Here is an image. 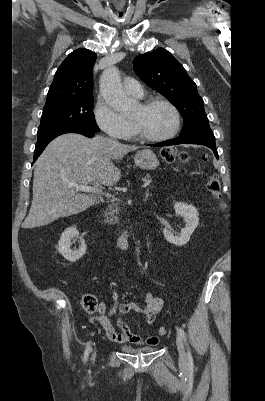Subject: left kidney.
<instances>
[{
  "label": "left kidney",
  "mask_w": 265,
  "mask_h": 401,
  "mask_svg": "<svg viewBox=\"0 0 265 401\" xmlns=\"http://www.w3.org/2000/svg\"><path fill=\"white\" fill-rule=\"evenodd\" d=\"M174 209L178 217H184L186 225L184 229H181L182 233L180 237H174L173 233L168 231V229H164L163 235L168 243L182 247V245L188 243L193 231L198 227L199 213L193 205H186V203H175Z\"/></svg>",
  "instance_id": "5707ae66"
}]
</instances>
